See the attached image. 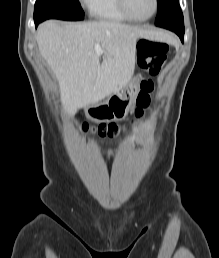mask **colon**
Instances as JSON below:
<instances>
[{"label":"colon","instance_id":"5ec220e1","mask_svg":"<svg viewBox=\"0 0 219 258\" xmlns=\"http://www.w3.org/2000/svg\"><path fill=\"white\" fill-rule=\"evenodd\" d=\"M168 45L162 42L142 39L138 43V62L150 74L156 75L164 67L168 60ZM154 90V83L145 80L141 83V91L137 97L136 116L143 114L151 99ZM83 129L89 130V126L84 124ZM93 131L102 139H114L121 133V127L116 123H101L93 128Z\"/></svg>","mask_w":219,"mask_h":258}]
</instances>
